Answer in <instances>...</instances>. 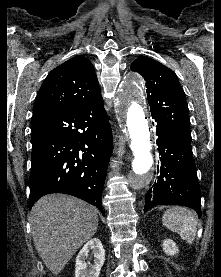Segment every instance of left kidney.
<instances>
[{"label": "left kidney", "mask_w": 221, "mask_h": 277, "mask_svg": "<svg viewBox=\"0 0 221 277\" xmlns=\"http://www.w3.org/2000/svg\"><path fill=\"white\" fill-rule=\"evenodd\" d=\"M162 246H163V251L167 255L173 256L179 252L176 243L171 239L164 240Z\"/></svg>", "instance_id": "obj_1"}]
</instances>
